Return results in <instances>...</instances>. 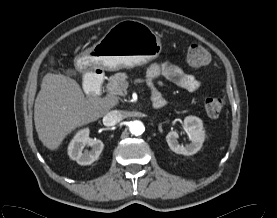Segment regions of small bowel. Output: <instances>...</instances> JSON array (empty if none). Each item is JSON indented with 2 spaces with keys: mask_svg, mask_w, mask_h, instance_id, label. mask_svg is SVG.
I'll list each match as a JSON object with an SVG mask.
<instances>
[{
  "mask_svg": "<svg viewBox=\"0 0 277 218\" xmlns=\"http://www.w3.org/2000/svg\"><path fill=\"white\" fill-rule=\"evenodd\" d=\"M160 76L166 77L189 92H194L200 87L199 80L194 75L186 73L181 67L170 63H155L149 67L147 73V84L152 92L153 102L157 98L163 99L156 89V80Z\"/></svg>",
  "mask_w": 277,
  "mask_h": 218,
  "instance_id": "obj_1",
  "label": "small bowel"
}]
</instances>
